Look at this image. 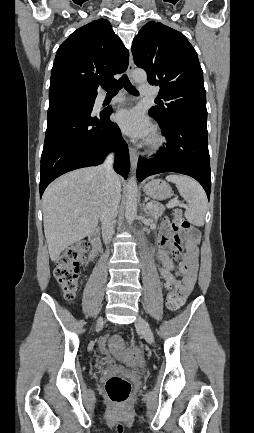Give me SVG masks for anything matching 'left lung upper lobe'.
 Listing matches in <instances>:
<instances>
[{
	"instance_id": "5c2ea615",
	"label": "left lung upper lobe",
	"mask_w": 254,
	"mask_h": 433,
	"mask_svg": "<svg viewBox=\"0 0 254 433\" xmlns=\"http://www.w3.org/2000/svg\"><path fill=\"white\" fill-rule=\"evenodd\" d=\"M135 64L147 72L151 85L167 103L149 113L161 124L183 115L207 119L203 72L197 53L180 32L160 22H148L132 43Z\"/></svg>"
}]
</instances>
